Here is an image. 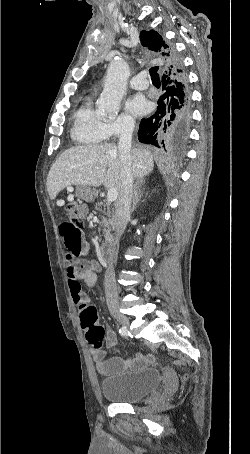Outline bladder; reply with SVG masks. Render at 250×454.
Instances as JSON below:
<instances>
[{"label":"bladder","mask_w":250,"mask_h":454,"mask_svg":"<svg viewBox=\"0 0 250 454\" xmlns=\"http://www.w3.org/2000/svg\"><path fill=\"white\" fill-rule=\"evenodd\" d=\"M160 384V370L151 367L105 378L100 383V389L103 397L113 403L133 404L153 394Z\"/></svg>","instance_id":"bladder-1"}]
</instances>
